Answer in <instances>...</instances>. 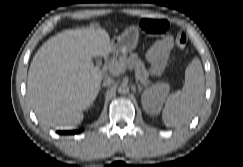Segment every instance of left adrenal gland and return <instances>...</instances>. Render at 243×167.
Returning <instances> with one entry per match:
<instances>
[{
	"label": "left adrenal gland",
	"instance_id": "left-adrenal-gland-1",
	"mask_svg": "<svg viewBox=\"0 0 243 167\" xmlns=\"http://www.w3.org/2000/svg\"><path fill=\"white\" fill-rule=\"evenodd\" d=\"M144 86H145V85H144ZM137 87H138V91H139V92H141V91H142V89H143V85L138 84V85H137Z\"/></svg>",
	"mask_w": 243,
	"mask_h": 167
}]
</instances>
